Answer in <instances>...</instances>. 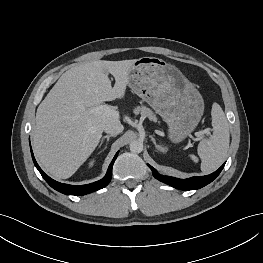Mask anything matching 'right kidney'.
<instances>
[{"instance_id": "right-kidney-1", "label": "right kidney", "mask_w": 263, "mask_h": 263, "mask_svg": "<svg viewBox=\"0 0 263 263\" xmlns=\"http://www.w3.org/2000/svg\"><path fill=\"white\" fill-rule=\"evenodd\" d=\"M93 164H94V159H93L92 161H90V163H89V167H92Z\"/></svg>"}]
</instances>
